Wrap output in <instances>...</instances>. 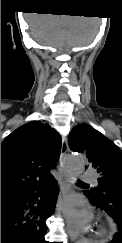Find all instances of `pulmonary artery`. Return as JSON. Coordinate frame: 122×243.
I'll return each mask as SVG.
<instances>
[{
	"label": "pulmonary artery",
	"instance_id": "pulmonary-artery-1",
	"mask_svg": "<svg viewBox=\"0 0 122 243\" xmlns=\"http://www.w3.org/2000/svg\"><path fill=\"white\" fill-rule=\"evenodd\" d=\"M82 179L85 181H96V176L90 172H85L82 174Z\"/></svg>",
	"mask_w": 122,
	"mask_h": 243
}]
</instances>
